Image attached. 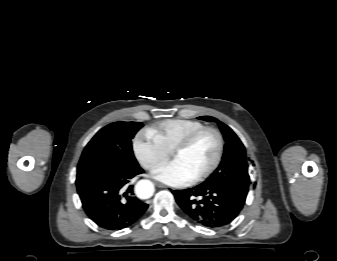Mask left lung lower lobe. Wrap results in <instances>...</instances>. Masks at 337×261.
Here are the masks:
<instances>
[{
    "instance_id": "0a47b994",
    "label": "left lung lower lobe",
    "mask_w": 337,
    "mask_h": 261,
    "mask_svg": "<svg viewBox=\"0 0 337 261\" xmlns=\"http://www.w3.org/2000/svg\"><path fill=\"white\" fill-rule=\"evenodd\" d=\"M177 204L196 223L219 228L230 224L242 210L244 203L234 194L218 187L198 185L191 189L174 190Z\"/></svg>"
}]
</instances>
